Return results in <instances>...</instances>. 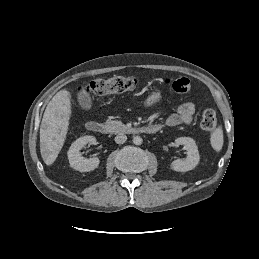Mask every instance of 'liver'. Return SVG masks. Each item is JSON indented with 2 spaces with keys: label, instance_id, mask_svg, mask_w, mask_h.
<instances>
[{
  "label": "liver",
  "instance_id": "6515ba94",
  "mask_svg": "<svg viewBox=\"0 0 259 259\" xmlns=\"http://www.w3.org/2000/svg\"><path fill=\"white\" fill-rule=\"evenodd\" d=\"M71 93L57 92L48 103L40 126V152L44 163L52 165L60 153L72 114Z\"/></svg>",
  "mask_w": 259,
  "mask_h": 259
}]
</instances>
